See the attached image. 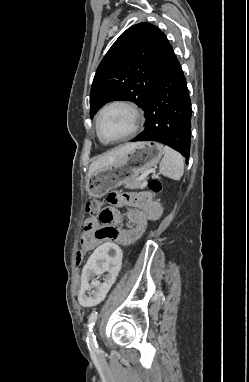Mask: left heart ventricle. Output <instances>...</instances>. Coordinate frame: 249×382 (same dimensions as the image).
<instances>
[{"mask_svg":"<svg viewBox=\"0 0 249 382\" xmlns=\"http://www.w3.org/2000/svg\"><path fill=\"white\" fill-rule=\"evenodd\" d=\"M131 115L122 107L107 110L100 119V133L105 139L125 135L131 129Z\"/></svg>","mask_w":249,"mask_h":382,"instance_id":"obj_1","label":"left heart ventricle"}]
</instances>
